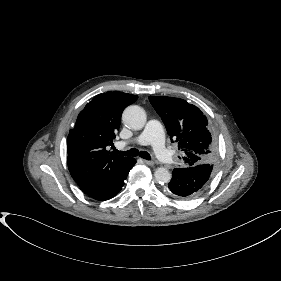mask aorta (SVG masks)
<instances>
[{
	"label": "aorta",
	"mask_w": 281,
	"mask_h": 281,
	"mask_svg": "<svg viewBox=\"0 0 281 281\" xmlns=\"http://www.w3.org/2000/svg\"><path fill=\"white\" fill-rule=\"evenodd\" d=\"M122 119L128 127L139 130L146 123V113L140 106L131 105L124 110ZM154 177L158 183L165 184L170 182L171 173L166 168L159 167L154 172Z\"/></svg>",
	"instance_id": "obj_1"
}]
</instances>
